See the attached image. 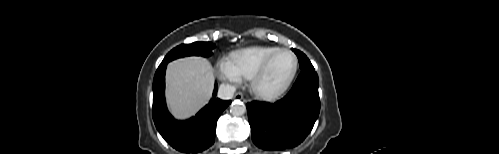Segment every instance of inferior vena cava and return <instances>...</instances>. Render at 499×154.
Listing matches in <instances>:
<instances>
[{
  "label": "inferior vena cava",
  "mask_w": 499,
  "mask_h": 154,
  "mask_svg": "<svg viewBox=\"0 0 499 154\" xmlns=\"http://www.w3.org/2000/svg\"><path fill=\"white\" fill-rule=\"evenodd\" d=\"M236 91V88L230 84H221L218 89V97L223 100L231 99Z\"/></svg>",
  "instance_id": "602c4592"
}]
</instances>
